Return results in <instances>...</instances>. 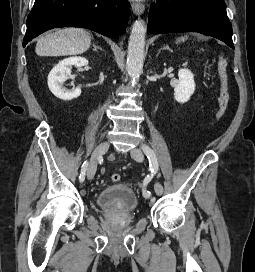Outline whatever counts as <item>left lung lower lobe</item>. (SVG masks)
<instances>
[{"mask_svg": "<svg viewBox=\"0 0 255 272\" xmlns=\"http://www.w3.org/2000/svg\"><path fill=\"white\" fill-rule=\"evenodd\" d=\"M147 31L152 34L198 32L234 49L224 0H158L150 6Z\"/></svg>", "mask_w": 255, "mask_h": 272, "instance_id": "0a47b994", "label": "left lung lower lobe"}]
</instances>
